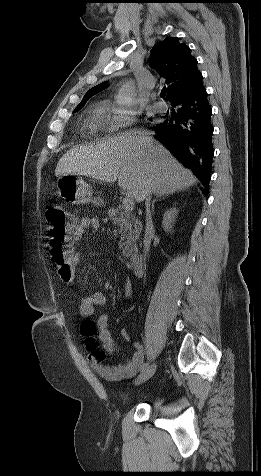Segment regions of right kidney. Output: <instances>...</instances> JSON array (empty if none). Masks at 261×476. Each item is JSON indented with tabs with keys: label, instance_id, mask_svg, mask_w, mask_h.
<instances>
[{
	"label": "right kidney",
	"instance_id": "obj_1",
	"mask_svg": "<svg viewBox=\"0 0 261 476\" xmlns=\"http://www.w3.org/2000/svg\"><path fill=\"white\" fill-rule=\"evenodd\" d=\"M177 213H178V210L176 208H172V209H170V210H168L167 212L164 213L162 225H163V229L166 232L171 231L172 224L175 221Z\"/></svg>",
	"mask_w": 261,
	"mask_h": 476
}]
</instances>
